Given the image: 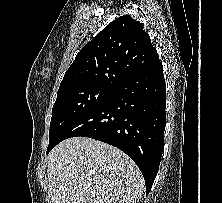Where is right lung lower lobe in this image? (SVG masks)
Masks as SVG:
<instances>
[{
	"mask_svg": "<svg viewBox=\"0 0 222 203\" xmlns=\"http://www.w3.org/2000/svg\"><path fill=\"white\" fill-rule=\"evenodd\" d=\"M159 59L122 78L108 97L92 111L68 126L47 148L61 141L84 136L113 145L141 170L146 195L158 172L166 124V92Z\"/></svg>",
	"mask_w": 222,
	"mask_h": 203,
	"instance_id": "right-lung-lower-lobe-1",
	"label": "right lung lower lobe"
}]
</instances>
